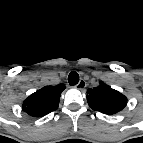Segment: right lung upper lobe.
<instances>
[{
    "instance_id": "cb5924a9",
    "label": "right lung upper lobe",
    "mask_w": 143,
    "mask_h": 143,
    "mask_svg": "<svg viewBox=\"0 0 143 143\" xmlns=\"http://www.w3.org/2000/svg\"><path fill=\"white\" fill-rule=\"evenodd\" d=\"M64 84L45 86L31 94L23 103L22 109L32 117H42L56 110Z\"/></svg>"
}]
</instances>
